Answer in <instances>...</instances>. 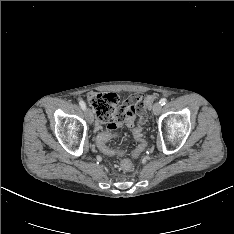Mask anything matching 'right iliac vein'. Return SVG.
<instances>
[{"label": "right iliac vein", "instance_id": "obj_1", "mask_svg": "<svg viewBox=\"0 0 234 234\" xmlns=\"http://www.w3.org/2000/svg\"><path fill=\"white\" fill-rule=\"evenodd\" d=\"M85 115L87 118V121L91 124L93 122V114L90 109H85Z\"/></svg>", "mask_w": 234, "mask_h": 234}]
</instances>
